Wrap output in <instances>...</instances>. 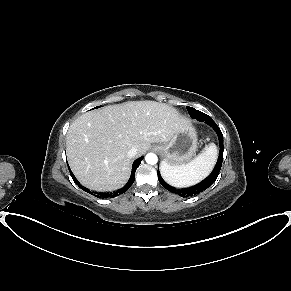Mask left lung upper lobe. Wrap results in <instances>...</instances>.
Here are the masks:
<instances>
[{
  "label": "left lung upper lobe",
  "mask_w": 291,
  "mask_h": 291,
  "mask_svg": "<svg viewBox=\"0 0 291 291\" xmlns=\"http://www.w3.org/2000/svg\"><path fill=\"white\" fill-rule=\"evenodd\" d=\"M187 110H188V113H189L190 116L192 115V113H193L194 111H196V109H194V108H192V107H187Z\"/></svg>",
  "instance_id": "left-lung-upper-lobe-1"
}]
</instances>
